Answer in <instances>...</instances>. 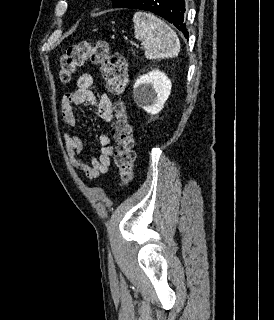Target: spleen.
Returning <instances> with one entry per match:
<instances>
[{"label":"spleen","mask_w":274,"mask_h":320,"mask_svg":"<svg viewBox=\"0 0 274 320\" xmlns=\"http://www.w3.org/2000/svg\"><path fill=\"white\" fill-rule=\"evenodd\" d=\"M134 38L141 40L148 60L176 58L180 52L179 38L163 20L147 12H136L133 18Z\"/></svg>","instance_id":"3e777b00"}]
</instances>
